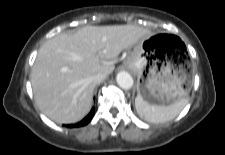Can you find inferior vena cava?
I'll use <instances>...</instances> for the list:
<instances>
[{"instance_id":"1","label":"inferior vena cava","mask_w":225,"mask_h":155,"mask_svg":"<svg viewBox=\"0 0 225 155\" xmlns=\"http://www.w3.org/2000/svg\"><path fill=\"white\" fill-rule=\"evenodd\" d=\"M105 78H106V76L104 74L98 73L92 77V81L94 84H98V83L102 82Z\"/></svg>"}]
</instances>
